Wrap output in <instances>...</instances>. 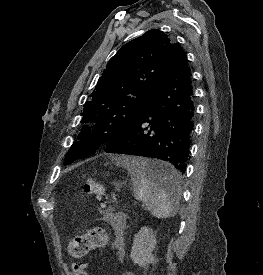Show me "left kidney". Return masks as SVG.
<instances>
[{"label": "left kidney", "mask_w": 263, "mask_h": 275, "mask_svg": "<svg viewBox=\"0 0 263 275\" xmlns=\"http://www.w3.org/2000/svg\"><path fill=\"white\" fill-rule=\"evenodd\" d=\"M156 247V235L151 228L142 227L133 239L131 260L140 267L146 268L153 263L152 251Z\"/></svg>", "instance_id": "1"}]
</instances>
